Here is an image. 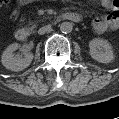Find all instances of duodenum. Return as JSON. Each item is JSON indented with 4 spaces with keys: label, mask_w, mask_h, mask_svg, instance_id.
<instances>
[{
    "label": "duodenum",
    "mask_w": 119,
    "mask_h": 119,
    "mask_svg": "<svg viewBox=\"0 0 119 119\" xmlns=\"http://www.w3.org/2000/svg\"><path fill=\"white\" fill-rule=\"evenodd\" d=\"M59 19L78 23L81 21V16L80 14L75 12H66V13H63L59 17ZM28 36H29V33L25 28H19L15 31V38L19 41L26 40Z\"/></svg>",
    "instance_id": "410a0bca"
}]
</instances>
